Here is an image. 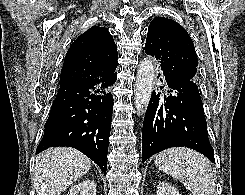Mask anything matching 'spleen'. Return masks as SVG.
Here are the masks:
<instances>
[{
  "mask_svg": "<svg viewBox=\"0 0 245 195\" xmlns=\"http://www.w3.org/2000/svg\"><path fill=\"white\" fill-rule=\"evenodd\" d=\"M155 166L179 180L192 195H214L215 178L209 160L183 147L170 148L156 155Z\"/></svg>",
  "mask_w": 245,
  "mask_h": 195,
  "instance_id": "1",
  "label": "spleen"
}]
</instances>
